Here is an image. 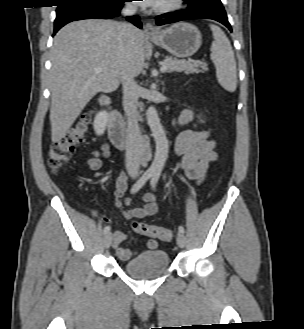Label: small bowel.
Listing matches in <instances>:
<instances>
[{
	"mask_svg": "<svg viewBox=\"0 0 304 329\" xmlns=\"http://www.w3.org/2000/svg\"><path fill=\"white\" fill-rule=\"evenodd\" d=\"M193 119V111L185 109L179 117V123L186 125ZM215 141L210 138L208 131L185 130L176 139L174 150L178 157V167L186 176L195 181H202L208 173L209 165L217 159L215 152ZM109 155L108 145H103L100 151L93 152L88 160V166L96 171L101 167L102 158ZM127 174L122 173L116 180V196L118 197L115 205L124 218H144L152 216L157 212L156 196L147 194L141 197L143 205L136 208H127L130 200H120L119 198L126 190ZM127 240V236L121 231L113 233V249L119 258L129 260L137 255L138 251L125 248L122 244ZM149 249H156L158 241L151 239L147 242Z\"/></svg>",
	"mask_w": 304,
	"mask_h": 329,
	"instance_id": "small-bowel-1",
	"label": "small bowel"
}]
</instances>
